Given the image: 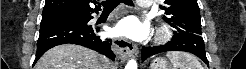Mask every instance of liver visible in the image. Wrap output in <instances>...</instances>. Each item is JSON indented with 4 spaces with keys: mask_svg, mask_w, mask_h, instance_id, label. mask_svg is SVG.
Masks as SVG:
<instances>
[{
    "mask_svg": "<svg viewBox=\"0 0 246 69\" xmlns=\"http://www.w3.org/2000/svg\"><path fill=\"white\" fill-rule=\"evenodd\" d=\"M112 62L95 51L73 44L48 50L35 69H115Z\"/></svg>",
    "mask_w": 246,
    "mask_h": 69,
    "instance_id": "1",
    "label": "liver"
}]
</instances>
